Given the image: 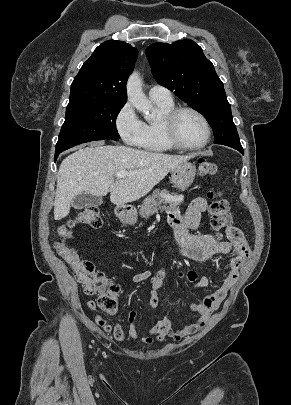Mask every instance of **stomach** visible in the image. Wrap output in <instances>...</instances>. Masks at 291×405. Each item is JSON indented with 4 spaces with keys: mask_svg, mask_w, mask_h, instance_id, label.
<instances>
[{
    "mask_svg": "<svg viewBox=\"0 0 291 405\" xmlns=\"http://www.w3.org/2000/svg\"><path fill=\"white\" fill-rule=\"evenodd\" d=\"M196 175V168L189 162H182L172 170V182L174 186L180 190H187ZM118 217L123 224L133 225L137 221L136 210H124L118 213Z\"/></svg>",
    "mask_w": 291,
    "mask_h": 405,
    "instance_id": "obj_1",
    "label": "stomach"
}]
</instances>
